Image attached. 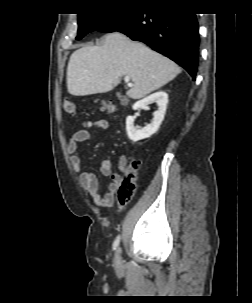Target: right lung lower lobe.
<instances>
[{"instance_id":"98d812e1","label":"right lung lower lobe","mask_w":252,"mask_h":303,"mask_svg":"<svg viewBox=\"0 0 252 303\" xmlns=\"http://www.w3.org/2000/svg\"><path fill=\"white\" fill-rule=\"evenodd\" d=\"M99 31H118L132 40L146 43L181 65L195 80L199 60V32L195 14L171 8L152 12L135 9Z\"/></svg>"}]
</instances>
